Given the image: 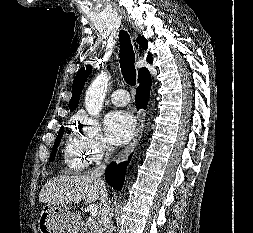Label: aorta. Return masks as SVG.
Returning <instances> with one entry per match:
<instances>
[{"label":"aorta","mask_w":253,"mask_h":233,"mask_svg":"<svg viewBox=\"0 0 253 233\" xmlns=\"http://www.w3.org/2000/svg\"><path fill=\"white\" fill-rule=\"evenodd\" d=\"M108 80V74L101 72L88 87L85 94V108L89 115L98 116L101 112Z\"/></svg>","instance_id":"1"}]
</instances>
